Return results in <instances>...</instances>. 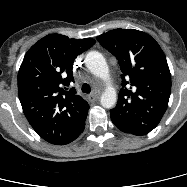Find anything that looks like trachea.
<instances>
[{"instance_id":"1","label":"trachea","mask_w":187,"mask_h":187,"mask_svg":"<svg viewBox=\"0 0 187 187\" xmlns=\"http://www.w3.org/2000/svg\"><path fill=\"white\" fill-rule=\"evenodd\" d=\"M90 91H91V88H90L89 84L84 83L83 86H82V92L90 93Z\"/></svg>"}]
</instances>
